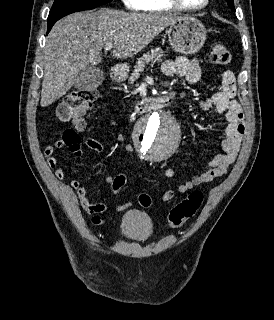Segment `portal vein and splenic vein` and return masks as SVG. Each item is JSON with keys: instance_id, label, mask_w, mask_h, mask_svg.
<instances>
[{"instance_id": "portal-vein-and-splenic-vein-1", "label": "portal vein and splenic vein", "mask_w": 274, "mask_h": 320, "mask_svg": "<svg viewBox=\"0 0 274 320\" xmlns=\"http://www.w3.org/2000/svg\"><path fill=\"white\" fill-rule=\"evenodd\" d=\"M113 48V44H106L105 50H111Z\"/></svg>"}]
</instances>
